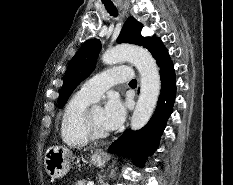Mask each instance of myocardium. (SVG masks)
<instances>
[{
    "label": "myocardium",
    "instance_id": "myocardium-1",
    "mask_svg": "<svg viewBox=\"0 0 233 185\" xmlns=\"http://www.w3.org/2000/svg\"><path fill=\"white\" fill-rule=\"evenodd\" d=\"M95 106L88 107L84 113L83 116V126L84 130L90 140H101L109 136V132H101L96 130V128L93 125L91 113L92 109Z\"/></svg>",
    "mask_w": 233,
    "mask_h": 185
}]
</instances>
